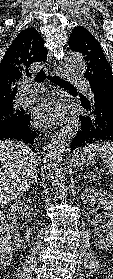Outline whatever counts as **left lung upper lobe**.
<instances>
[{
	"label": "left lung upper lobe",
	"mask_w": 113,
	"mask_h": 279,
	"mask_svg": "<svg viewBox=\"0 0 113 279\" xmlns=\"http://www.w3.org/2000/svg\"><path fill=\"white\" fill-rule=\"evenodd\" d=\"M71 50L82 53L87 60L88 69L84 76L91 89L102 91L113 98V75L99 42L84 27H76L68 41Z\"/></svg>",
	"instance_id": "1"
}]
</instances>
